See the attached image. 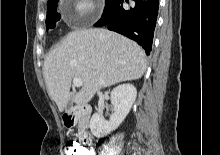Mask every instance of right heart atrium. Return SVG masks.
Segmentation results:
<instances>
[{
    "mask_svg": "<svg viewBox=\"0 0 220 155\" xmlns=\"http://www.w3.org/2000/svg\"><path fill=\"white\" fill-rule=\"evenodd\" d=\"M98 17L96 0H74L73 20L76 24L83 25L95 21Z\"/></svg>",
    "mask_w": 220,
    "mask_h": 155,
    "instance_id": "right-heart-atrium-1",
    "label": "right heart atrium"
}]
</instances>
